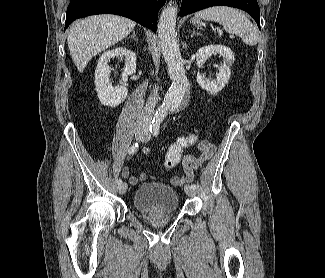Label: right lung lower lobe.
Here are the masks:
<instances>
[{
  "mask_svg": "<svg viewBox=\"0 0 325 278\" xmlns=\"http://www.w3.org/2000/svg\"><path fill=\"white\" fill-rule=\"evenodd\" d=\"M166 0H71L65 28L76 19L95 14H117L130 18L156 33L157 15Z\"/></svg>",
  "mask_w": 325,
  "mask_h": 278,
  "instance_id": "obj_1",
  "label": "right lung lower lobe"
}]
</instances>
